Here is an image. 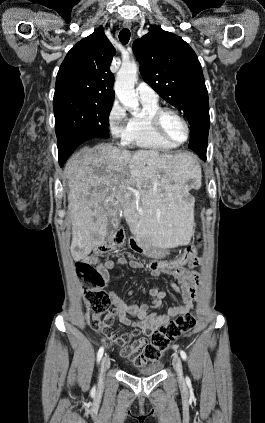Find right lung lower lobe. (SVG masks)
Returning <instances> with one entry per match:
<instances>
[{
    "label": "right lung lower lobe",
    "instance_id": "obj_1",
    "mask_svg": "<svg viewBox=\"0 0 265 423\" xmlns=\"http://www.w3.org/2000/svg\"><path fill=\"white\" fill-rule=\"evenodd\" d=\"M93 139L92 136H88L82 133H71L61 139L62 145L66 147L69 152H72L83 142Z\"/></svg>",
    "mask_w": 265,
    "mask_h": 423
}]
</instances>
